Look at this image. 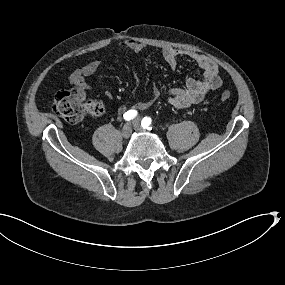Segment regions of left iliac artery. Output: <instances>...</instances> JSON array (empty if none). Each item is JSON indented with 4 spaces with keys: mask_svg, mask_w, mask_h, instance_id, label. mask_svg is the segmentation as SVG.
Returning a JSON list of instances; mask_svg holds the SVG:
<instances>
[{
    "mask_svg": "<svg viewBox=\"0 0 285 285\" xmlns=\"http://www.w3.org/2000/svg\"><path fill=\"white\" fill-rule=\"evenodd\" d=\"M151 118L150 117H144L141 121V125L144 129L152 130L151 125Z\"/></svg>",
    "mask_w": 285,
    "mask_h": 285,
    "instance_id": "left-iliac-artery-1",
    "label": "left iliac artery"
}]
</instances>
